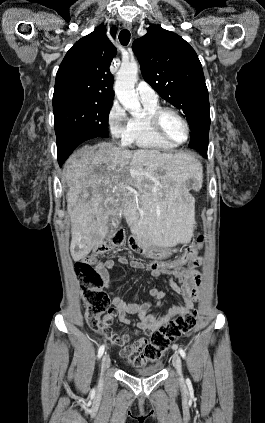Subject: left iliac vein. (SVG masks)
<instances>
[{"instance_id":"left-iliac-vein-1","label":"left iliac vein","mask_w":265,"mask_h":423,"mask_svg":"<svg viewBox=\"0 0 265 423\" xmlns=\"http://www.w3.org/2000/svg\"><path fill=\"white\" fill-rule=\"evenodd\" d=\"M173 366L177 371V374L180 379H183L182 376V364H181V358L178 354H174L173 360H172Z\"/></svg>"}]
</instances>
